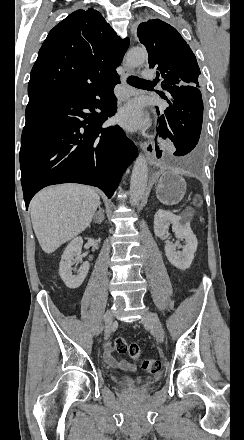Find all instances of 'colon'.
Listing matches in <instances>:
<instances>
[{
    "instance_id": "colon-1",
    "label": "colon",
    "mask_w": 244,
    "mask_h": 440,
    "mask_svg": "<svg viewBox=\"0 0 244 440\" xmlns=\"http://www.w3.org/2000/svg\"><path fill=\"white\" fill-rule=\"evenodd\" d=\"M114 352L117 354L127 353L130 358L138 359L141 356V349L137 343L129 344L123 336H118L113 343ZM143 369L149 375L158 374L161 370V363L158 359H145L142 363Z\"/></svg>"
}]
</instances>
